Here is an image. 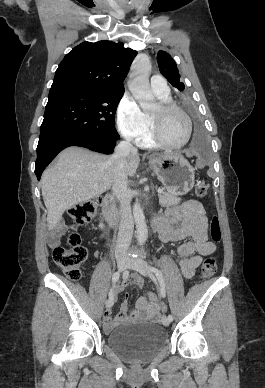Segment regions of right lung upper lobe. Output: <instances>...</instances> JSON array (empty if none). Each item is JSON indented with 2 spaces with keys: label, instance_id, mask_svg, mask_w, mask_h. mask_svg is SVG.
Wrapping results in <instances>:
<instances>
[{
  "label": "right lung upper lobe",
  "instance_id": "right-lung-upper-lobe-1",
  "mask_svg": "<svg viewBox=\"0 0 265 388\" xmlns=\"http://www.w3.org/2000/svg\"><path fill=\"white\" fill-rule=\"evenodd\" d=\"M137 52L123 43L83 42L56 70L49 94L63 91L124 90L122 84Z\"/></svg>",
  "mask_w": 265,
  "mask_h": 388
}]
</instances>
